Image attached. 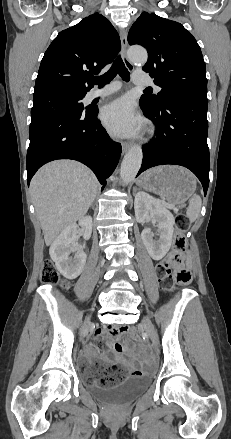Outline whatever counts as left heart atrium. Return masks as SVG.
I'll list each match as a JSON object with an SVG mask.
<instances>
[{"label":"left heart atrium","mask_w":231,"mask_h":439,"mask_svg":"<svg viewBox=\"0 0 231 439\" xmlns=\"http://www.w3.org/2000/svg\"><path fill=\"white\" fill-rule=\"evenodd\" d=\"M101 119L105 127L117 136L136 135L142 126L132 101L124 97L106 105L102 110Z\"/></svg>","instance_id":"left-heart-atrium-1"}]
</instances>
